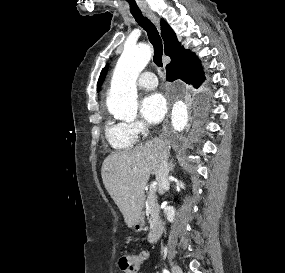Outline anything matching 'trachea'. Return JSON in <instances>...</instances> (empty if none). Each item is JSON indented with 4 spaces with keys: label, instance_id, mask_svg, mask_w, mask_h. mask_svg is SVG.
<instances>
[{
    "label": "trachea",
    "instance_id": "obj_1",
    "mask_svg": "<svg viewBox=\"0 0 285 273\" xmlns=\"http://www.w3.org/2000/svg\"><path fill=\"white\" fill-rule=\"evenodd\" d=\"M137 23L147 32L149 40L154 48L153 61L158 67H162L163 44L155 25L146 18L142 12H131Z\"/></svg>",
    "mask_w": 285,
    "mask_h": 273
}]
</instances>
